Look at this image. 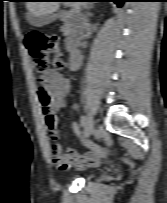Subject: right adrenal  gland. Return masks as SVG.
I'll list each match as a JSON object with an SVG mask.
<instances>
[{
	"mask_svg": "<svg viewBox=\"0 0 167 203\" xmlns=\"http://www.w3.org/2000/svg\"><path fill=\"white\" fill-rule=\"evenodd\" d=\"M88 9H89V8H88ZM87 15H88V16H91V14H90V13H87Z\"/></svg>",
	"mask_w": 167,
	"mask_h": 203,
	"instance_id": "obj_1",
	"label": "right adrenal gland"
}]
</instances>
